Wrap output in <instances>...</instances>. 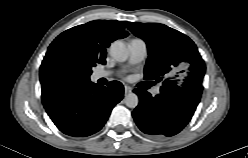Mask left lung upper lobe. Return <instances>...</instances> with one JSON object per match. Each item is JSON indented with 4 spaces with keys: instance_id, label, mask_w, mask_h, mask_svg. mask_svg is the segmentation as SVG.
<instances>
[{
    "instance_id": "obj_1",
    "label": "left lung upper lobe",
    "mask_w": 248,
    "mask_h": 158,
    "mask_svg": "<svg viewBox=\"0 0 248 158\" xmlns=\"http://www.w3.org/2000/svg\"><path fill=\"white\" fill-rule=\"evenodd\" d=\"M128 29L142 38L149 57L144 79L161 81V93L185 91L201 95L205 63L194 42L183 33L163 24L125 22Z\"/></svg>"
}]
</instances>
